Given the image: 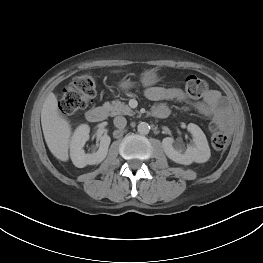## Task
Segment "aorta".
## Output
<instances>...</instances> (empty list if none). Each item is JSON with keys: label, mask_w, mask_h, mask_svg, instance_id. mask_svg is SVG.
I'll return each mask as SVG.
<instances>
[{"label": "aorta", "mask_w": 263, "mask_h": 263, "mask_svg": "<svg viewBox=\"0 0 263 263\" xmlns=\"http://www.w3.org/2000/svg\"><path fill=\"white\" fill-rule=\"evenodd\" d=\"M137 130L140 134H148L150 131V125L146 122H141L139 123V125L137 126Z\"/></svg>", "instance_id": "1"}]
</instances>
